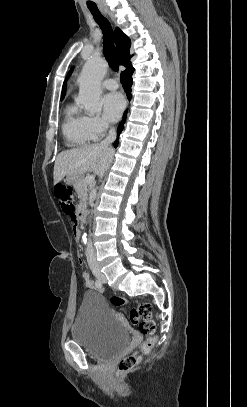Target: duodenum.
<instances>
[{"mask_svg": "<svg viewBox=\"0 0 247 407\" xmlns=\"http://www.w3.org/2000/svg\"><path fill=\"white\" fill-rule=\"evenodd\" d=\"M86 217V209L84 207H80L77 212V222L83 223Z\"/></svg>", "mask_w": 247, "mask_h": 407, "instance_id": "obj_1", "label": "duodenum"}]
</instances>
